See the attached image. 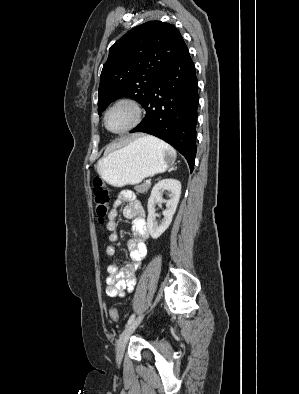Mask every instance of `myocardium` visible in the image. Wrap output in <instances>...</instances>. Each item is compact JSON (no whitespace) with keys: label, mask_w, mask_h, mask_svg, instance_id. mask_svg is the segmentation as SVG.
I'll return each mask as SVG.
<instances>
[{"label":"myocardium","mask_w":299,"mask_h":394,"mask_svg":"<svg viewBox=\"0 0 299 394\" xmlns=\"http://www.w3.org/2000/svg\"><path fill=\"white\" fill-rule=\"evenodd\" d=\"M120 105H126L128 106L133 113V118L132 121L130 122V124L128 126H126L125 128L118 130V131H113L111 129H109V127L107 126V116L108 114L117 106ZM143 119V109L141 107V105L134 99L132 98H120L117 99L116 101H114L104 112V116H103V123H104V127L106 128L107 131H109L110 133L113 134H124L127 133L131 130H133L134 128H136L142 121Z\"/></svg>","instance_id":"1"}]
</instances>
